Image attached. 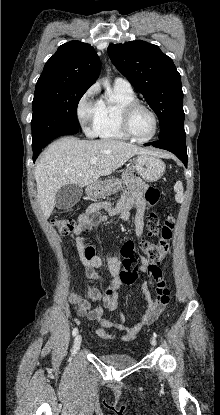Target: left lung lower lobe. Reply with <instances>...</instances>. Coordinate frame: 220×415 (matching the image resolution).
I'll return each instance as SVG.
<instances>
[{
	"label": "left lung lower lobe",
	"mask_w": 220,
	"mask_h": 415,
	"mask_svg": "<svg viewBox=\"0 0 220 415\" xmlns=\"http://www.w3.org/2000/svg\"><path fill=\"white\" fill-rule=\"evenodd\" d=\"M145 145H152L174 153L187 167L186 134L184 127L160 138L158 141L146 143Z\"/></svg>",
	"instance_id": "1"
}]
</instances>
